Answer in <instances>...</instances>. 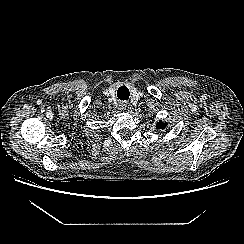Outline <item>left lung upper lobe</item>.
<instances>
[{"label":"left lung upper lobe","mask_w":244,"mask_h":244,"mask_svg":"<svg viewBox=\"0 0 244 244\" xmlns=\"http://www.w3.org/2000/svg\"><path fill=\"white\" fill-rule=\"evenodd\" d=\"M167 126V123L159 121L156 124L157 129H164Z\"/></svg>","instance_id":"left-lung-upper-lobe-1"}]
</instances>
